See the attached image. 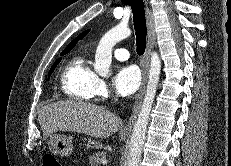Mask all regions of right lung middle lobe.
Returning <instances> with one entry per match:
<instances>
[{
	"label": "right lung middle lobe",
	"instance_id": "1",
	"mask_svg": "<svg viewBox=\"0 0 231 166\" xmlns=\"http://www.w3.org/2000/svg\"><path fill=\"white\" fill-rule=\"evenodd\" d=\"M66 53H67V52L61 53V55H65ZM60 61H61V58L58 59V60L52 65V67L50 68V71H49V73H48V79L50 78L52 72L54 71V69L56 68V66L60 63Z\"/></svg>",
	"mask_w": 231,
	"mask_h": 166
}]
</instances>
